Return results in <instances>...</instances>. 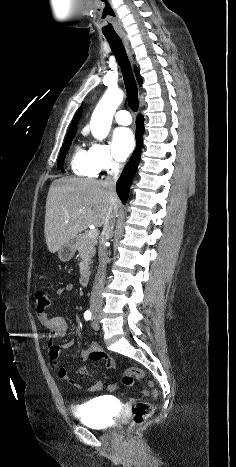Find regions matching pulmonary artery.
I'll return each mask as SVG.
<instances>
[{
  "label": "pulmonary artery",
  "instance_id": "obj_1",
  "mask_svg": "<svg viewBox=\"0 0 236 467\" xmlns=\"http://www.w3.org/2000/svg\"><path fill=\"white\" fill-rule=\"evenodd\" d=\"M115 120L120 125H129L132 122L130 113L127 110H120L115 115Z\"/></svg>",
  "mask_w": 236,
  "mask_h": 467
}]
</instances>
